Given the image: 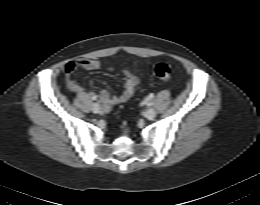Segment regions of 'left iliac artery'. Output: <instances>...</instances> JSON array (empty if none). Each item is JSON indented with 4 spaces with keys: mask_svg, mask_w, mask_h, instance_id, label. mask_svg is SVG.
Instances as JSON below:
<instances>
[{
    "mask_svg": "<svg viewBox=\"0 0 260 205\" xmlns=\"http://www.w3.org/2000/svg\"><path fill=\"white\" fill-rule=\"evenodd\" d=\"M150 98H153V95H151ZM152 105H153L152 101L148 103V106H152Z\"/></svg>",
    "mask_w": 260,
    "mask_h": 205,
    "instance_id": "1",
    "label": "left iliac artery"
}]
</instances>
